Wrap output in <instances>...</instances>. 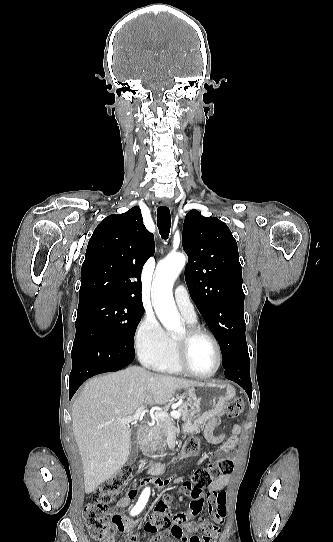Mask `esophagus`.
<instances>
[{
  "mask_svg": "<svg viewBox=\"0 0 333 542\" xmlns=\"http://www.w3.org/2000/svg\"><path fill=\"white\" fill-rule=\"evenodd\" d=\"M162 203H163V205L169 207L171 205V200L170 199H165V200H163Z\"/></svg>",
  "mask_w": 333,
  "mask_h": 542,
  "instance_id": "34e87169",
  "label": "esophagus"
}]
</instances>
